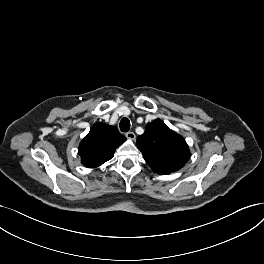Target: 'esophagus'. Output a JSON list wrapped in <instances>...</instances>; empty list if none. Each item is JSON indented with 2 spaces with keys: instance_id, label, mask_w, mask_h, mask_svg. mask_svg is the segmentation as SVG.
<instances>
[{
  "instance_id": "esophagus-1",
  "label": "esophagus",
  "mask_w": 264,
  "mask_h": 264,
  "mask_svg": "<svg viewBox=\"0 0 264 264\" xmlns=\"http://www.w3.org/2000/svg\"><path fill=\"white\" fill-rule=\"evenodd\" d=\"M128 139H130V140H134L135 139V134H134V132H127L126 133V135H125Z\"/></svg>"
}]
</instances>
